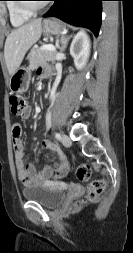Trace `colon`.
Masks as SVG:
<instances>
[{"label":"colon","mask_w":133,"mask_h":253,"mask_svg":"<svg viewBox=\"0 0 133 253\" xmlns=\"http://www.w3.org/2000/svg\"><path fill=\"white\" fill-rule=\"evenodd\" d=\"M10 108L14 116H23L27 108V100L22 94L10 96ZM75 177L79 181H88L91 177V168L87 164L79 165L75 170ZM107 182L104 179L91 181L86 190V198L89 201L97 199L106 189Z\"/></svg>","instance_id":"1"}]
</instances>
